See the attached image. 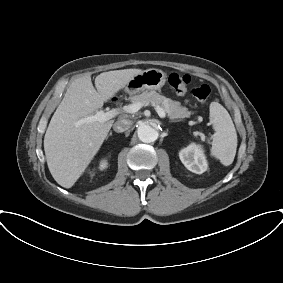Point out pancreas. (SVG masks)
<instances>
[{
  "mask_svg": "<svg viewBox=\"0 0 283 283\" xmlns=\"http://www.w3.org/2000/svg\"><path fill=\"white\" fill-rule=\"evenodd\" d=\"M131 102H140L144 106L152 104L160 106L171 119L189 118L194 112L188 108L181 106L180 102L173 101L165 96L160 95L155 91H144L139 95L131 97ZM179 121V120H177Z\"/></svg>",
  "mask_w": 283,
  "mask_h": 283,
  "instance_id": "1",
  "label": "pancreas"
}]
</instances>
